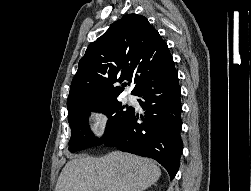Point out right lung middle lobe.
I'll list each match as a JSON object with an SVG mask.
<instances>
[{"mask_svg":"<svg viewBox=\"0 0 251 191\" xmlns=\"http://www.w3.org/2000/svg\"><path fill=\"white\" fill-rule=\"evenodd\" d=\"M133 110V107L124 106L117 99L69 108L68 121L72 131L69 141V151L76 152L100 145L128 120ZM91 111L104 113L109 118L101 140L94 137L88 125V117Z\"/></svg>","mask_w":251,"mask_h":191,"instance_id":"right-lung-middle-lobe-1","label":"right lung middle lobe"}]
</instances>
